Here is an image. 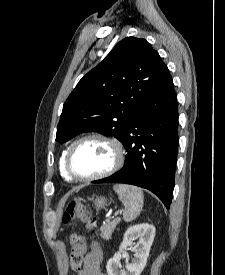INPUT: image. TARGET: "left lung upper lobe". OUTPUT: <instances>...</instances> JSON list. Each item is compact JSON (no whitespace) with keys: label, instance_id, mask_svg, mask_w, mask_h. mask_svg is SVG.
Segmentation results:
<instances>
[{"label":"left lung upper lobe","instance_id":"left-lung-upper-lobe-1","mask_svg":"<svg viewBox=\"0 0 225 275\" xmlns=\"http://www.w3.org/2000/svg\"><path fill=\"white\" fill-rule=\"evenodd\" d=\"M169 75L166 64L145 39H123L65 101L56 141L63 143L95 131L122 142L138 111Z\"/></svg>","mask_w":225,"mask_h":275}]
</instances>
